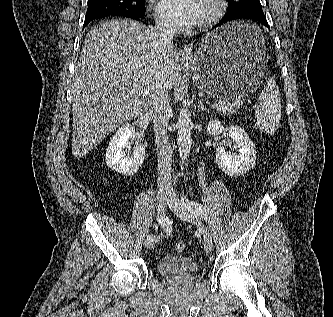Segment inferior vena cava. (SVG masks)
Instances as JSON below:
<instances>
[{"instance_id": "inferior-vena-cava-1", "label": "inferior vena cava", "mask_w": 333, "mask_h": 317, "mask_svg": "<svg viewBox=\"0 0 333 317\" xmlns=\"http://www.w3.org/2000/svg\"><path fill=\"white\" fill-rule=\"evenodd\" d=\"M154 32L164 44H171L176 28L169 22H158ZM150 112L153 116L155 143L158 155V188L171 189L172 149L167 135V125L171 114L168 90L163 80L155 83Z\"/></svg>"}]
</instances>
